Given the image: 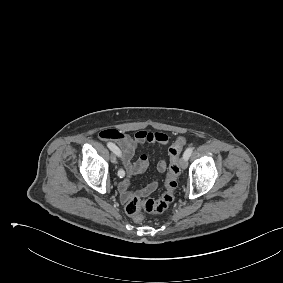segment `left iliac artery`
Here are the masks:
<instances>
[{
    "label": "left iliac artery",
    "instance_id": "left-iliac-artery-1",
    "mask_svg": "<svg viewBox=\"0 0 283 283\" xmlns=\"http://www.w3.org/2000/svg\"><path fill=\"white\" fill-rule=\"evenodd\" d=\"M192 151H193V148L192 147H189L185 150L184 154H183V157L186 158L188 160V158L191 156L192 154Z\"/></svg>",
    "mask_w": 283,
    "mask_h": 283
}]
</instances>
